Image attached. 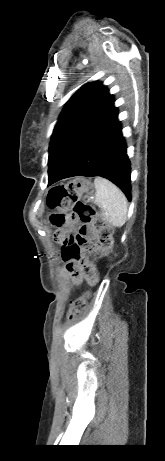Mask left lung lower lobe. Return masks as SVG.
I'll return each mask as SVG.
<instances>
[{"label": "left lung lower lobe", "instance_id": "left-lung-lower-lobe-1", "mask_svg": "<svg viewBox=\"0 0 165 461\" xmlns=\"http://www.w3.org/2000/svg\"><path fill=\"white\" fill-rule=\"evenodd\" d=\"M117 116L113 102L68 153L48 185L73 176H101L116 184L131 200L130 161Z\"/></svg>", "mask_w": 165, "mask_h": 461}]
</instances>
